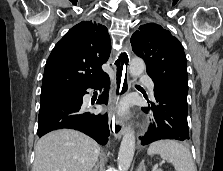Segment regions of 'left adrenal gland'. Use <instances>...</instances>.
<instances>
[{"mask_svg":"<svg viewBox=\"0 0 223 171\" xmlns=\"http://www.w3.org/2000/svg\"><path fill=\"white\" fill-rule=\"evenodd\" d=\"M145 165H144V160L141 161L137 171H145Z\"/></svg>","mask_w":223,"mask_h":171,"instance_id":"obj_1","label":"left adrenal gland"}]
</instances>
